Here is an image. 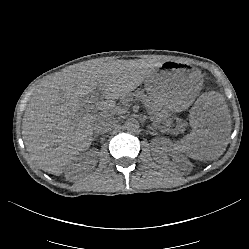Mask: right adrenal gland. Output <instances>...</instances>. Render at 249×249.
<instances>
[{
  "label": "right adrenal gland",
  "mask_w": 249,
  "mask_h": 249,
  "mask_svg": "<svg viewBox=\"0 0 249 249\" xmlns=\"http://www.w3.org/2000/svg\"><path fill=\"white\" fill-rule=\"evenodd\" d=\"M100 134H103V133H96V134L92 137V141H95V140L98 138V136H99Z\"/></svg>",
  "instance_id": "1"
}]
</instances>
